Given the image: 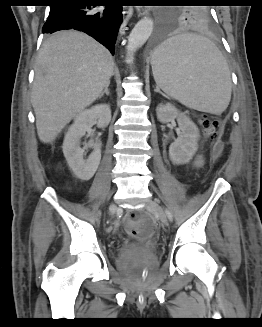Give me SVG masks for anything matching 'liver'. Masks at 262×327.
I'll use <instances>...</instances> for the list:
<instances>
[{
  "mask_svg": "<svg viewBox=\"0 0 262 327\" xmlns=\"http://www.w3.org/2000/svg\"><path fill=\"white\" fill-rule=\"evenodd\" d=\"M113 71L112 55L90 36L78 31L50 36L37 57L31 94L40 141H54L110 84Z\"/></svg>",
  "mask_w": 262,
  "mask_h": 327,
  "instance_id": "1",
  "label": "liver"
}]
</instances>
